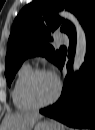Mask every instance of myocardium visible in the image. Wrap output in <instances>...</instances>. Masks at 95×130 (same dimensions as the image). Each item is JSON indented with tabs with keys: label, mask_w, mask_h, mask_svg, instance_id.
Returning a JSON list of instances; mask_svg holds the SVG:
<instances>
[{
	"label": "myocardium",
	"mask_w": 95,
	"mask_h": 130,
	"mask_svg": "<svg viewBox=\"0 0 95 130\" xmlns=\"http://www.w3.org/2000/svg\"><path fill=\"white\" fill-rule=\"evenodd\" d=\"M43 73L49 74L54 78L56 85H57V90H56L55 95L50 100L43 102V103H36L31 99V97L29 95V86H30L31 81L33 80V78L36 75L43 74ZM61 90H62L61 82L57 76H55L52 72H50L47 69L35 68V69H32L29 72V74L26 76V78L22 84L21 93H22V97H23V100L25 101V103H27L33 109H39V108L49 106V105L53 104L54 102H56L61 94Z\"/></svg>",
	"instance_id": "1"
}]
</instances>
